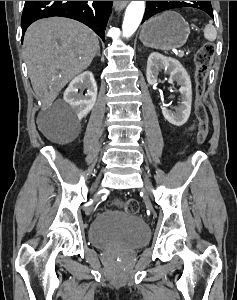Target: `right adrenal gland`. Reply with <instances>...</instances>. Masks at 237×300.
I'll use <instances>...</instances> for the list:
<instances>
[{
  "label": "right adrenal gland",
  "instance_id": "obj_1",
  "mask_svg": "<svg viewBox=\"0 0 237 300\" xmlns=\"http://www.w3.org/2000/svg\"><path fill=\"white\" fill-rule=\"evenodd\" d=\"M97 55H98V57H100V47H99V49L97 51Z\"/></svg>",
  "mask_w": 237,
  "mask_h": 300
}]
</instances>
